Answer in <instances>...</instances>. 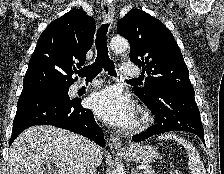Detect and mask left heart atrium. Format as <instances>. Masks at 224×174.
<instances>
[{
	"mask_svg": "<svg viewBox=\"0 0 224 174\" xmlns=\"http://www.w3.org/2000/svg\"><path fill=\"white\" fill-rule=\"evenodd\" d=\"M88 104L96 115L112 126L128 127L136 117L132 100L117 87L93 93Z\"/></svg>",
	"mask_w": 224,
	"mask_h": 174,
	"instance_id": "obj_1",
	"label": "left heart atrium"
}]
</instances>
